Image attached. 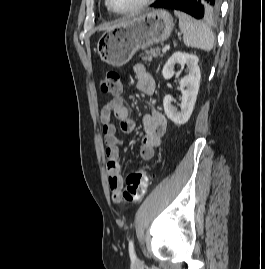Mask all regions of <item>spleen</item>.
Returning a JSON list of instances; mask_svg holds the SVG:
<instances>
[{
    "label": "spleen",
    "mask_w": 265,
    "mask_h": 269,
    "mask_svg": "<svg viewBox=\"0 0 265 269\" xmlns=\"http://www.w3.org/2000/svg\"><path fill=\"white\" fill-rule=\"evenodd\" d=\"M174 14L179 18V28L183 32L184 44L187 47L211 51L215 40L211 29L184 12L174 10Z\"/></svg>",
    "instance_id": "1"
}]
</instances>
